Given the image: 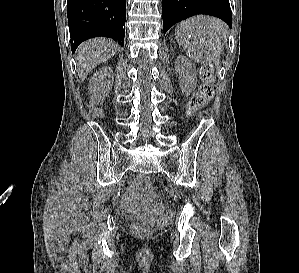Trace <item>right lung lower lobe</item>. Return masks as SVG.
<instances>
[{
    "mask_svg": "<svg viewBox=\"0 0 299 273\" xmlns=\"http://www.w3.org/2000/svg\"><path fill=\"white\" fill-rule=\"evenodd\" d=\"M71 49L94 37H109L124 45L126 0H68Z\"/></svg>",
    "mask_w": 299,
    "mask_h": 273,
    "instance_id": "1",
    "label": "right lung lower lobe"
}]
</instances>
